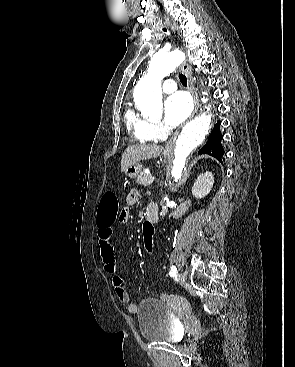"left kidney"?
<instances>
[{"label":"left kidney","instance_id":"5707ae66","mask_svg":"<svg viewBox=\"0 0 295 367\" xmlns=\"http://www.w3.org/2000/svg\"><path fill=\"white\" fill-rule=\"evenodd\" d=\"M213 184V174L209 171H206L205 173H202L195 181L192 187V194L198 199L204 198L210 193Z\"/></svg>","mask_w":295,"mask_h":367}]
</instances>
